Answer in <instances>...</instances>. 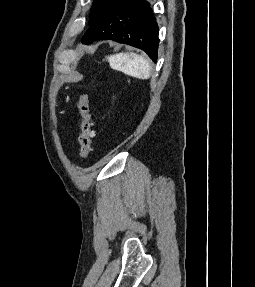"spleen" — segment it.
<instances>
[{
  "label": "spleen",
  "mask_w": 255,
  "mask_h": 287,
  "mask_svg": "<svg viewBox=\"0 0 255 287\" xmlns=\"http://www.w3.org/2000/svg\"><path fill=\"white\" fill-rule=\"evenodd\" d=\"M113 70H122L132 78L139 80H148L150 78L151 66L148 60L137 54H115L107 58Z\"/></svg>",
  "instance_id": "obj_1"
}]
</instances>
